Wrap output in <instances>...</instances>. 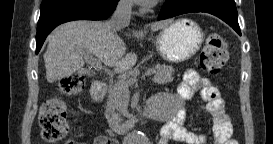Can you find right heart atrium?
Instances as JSON below:
<instances>
[{
    "mask_svg": "<svg viewBox=\"0 0 273 144\" xmlns=\"http://www.w3.org/2000/svg\"><path fill=\"white\" fill-rule=\"evenodd\" d=\"M129 4H130V2L127 1V0H121V1H120V5H122V6H124V7L129 6Z\"/></svg>",
    "mask_w": 273,
    "mask_h": 144,
    "instance_id": "1",
    "label": "right heart atrium"
}]
</instances>
